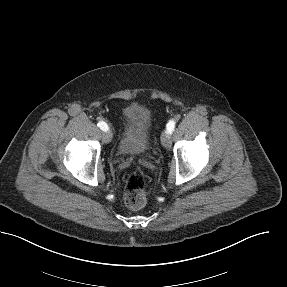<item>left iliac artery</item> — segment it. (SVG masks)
I'll return each instance as SVG.
<instances>
[{"mask_svg":"<svg viewBox=\"0 0 287 287\" xmlns=\"http://www.w3.org/2000/svg\"><path fill=\"white\" fill-rule=\"evenodd\" d=\"M167 132L168 133H172L174 128H175V121L174 120H170L168 123H167Z\"/></svg>","mask_w":287,"mask_h":287,"instance_id":"obj_1","label":"left iliac artery"}]
</instances>
